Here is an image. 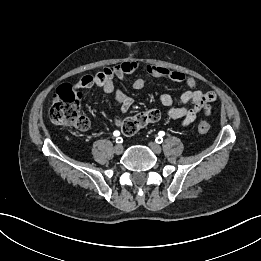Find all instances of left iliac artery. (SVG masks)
<instances>
[{"label": "left iliac artery", "mask_w": 261, "mask_h": 261, "mask_svg": "<svg viewBox=\"0 0 261 261\" xmlns=\"http://www.w3.org/2000/svg\"><path fill=\"white\" fill-rule=\"evenodd\" d=\"M158 137H156V143H162L163 142V136L165 135V133L163 131H160L158 133Z\"/></svg>", "instance_id": "obj_1"}]
</instances>
